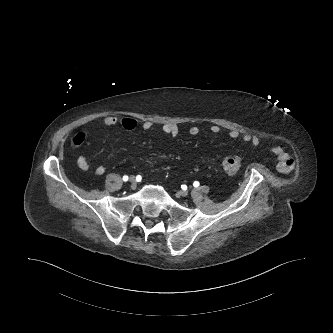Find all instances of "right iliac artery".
I'll return each instance as SVG.
<instances>
[{"instance_id": "1", "label": "right iliac artery", "mask_w": 333, "mask_h": 333, "mask_svg": "<svg viewBox=\"0 0 333 333\" xmlns=\"http://www.w3.org/2000/svg\"><path fill=\"white\" fill-rule=\"evenodd\" d=\"M127 180H128V176L127 175L123 176V181H127Z\"/></svg>"}]
</instances>
